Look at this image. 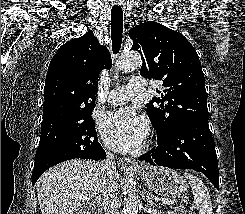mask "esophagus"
<instances>
[{
  "mask_svg": "<svg viewBox=\"0 0 245 214\" xmlns=\"http://www.w3.org/2000/svg\"><path fill=\"white\" fill-rule=\"evenodd\" d=\"M122 163L124 164H132V165H136V166H139L140 164L139 163H136L133 159L131 158H125V159H122Z\"/></svg>",
  "mask_w": 245,
  "mask_h": 214,
  "instance_id": "34e87169",
  "label": "esophagus"
}]
</instances>
